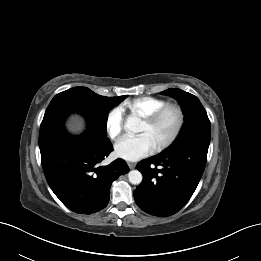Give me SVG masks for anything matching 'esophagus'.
Masks as SVG:
<instances>
[{"label":"esophagus","mask_w":261,"mask_h":261,"mask_svg":"<svg viewBox=\"0 0 261 261\" xmlns=\"http://www.w3.org/2000/svg\"><path fill=\"white\" fill-rule=\"evenodd\" d=\"M128 166H129L130 169H133V168H135L136 164L129 162Z\"/></svg>","instance_id":"esophagus-1"}]
</instances>
